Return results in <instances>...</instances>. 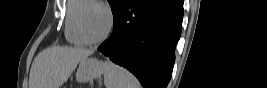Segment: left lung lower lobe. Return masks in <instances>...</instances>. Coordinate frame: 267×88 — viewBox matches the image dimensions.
Segmentation results:
<instances>
[{
	"mask_svg": "<svg viewBox=\"0 0 267 88\" xmlns=\"http://www.w3.org/2000/svg\"><path fill=\"white\" fill-rule=\"evenodd\" d=\"M182 16L181 0H129L98 50L131 71L145 88H166Z\"/></svg>",
	"mask_w": 267,
	"mask_h": 88,
	"instance_id": "0a47b994",
	"label": "left lung lower lobe"
}]
</instances>
